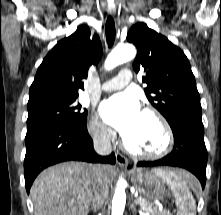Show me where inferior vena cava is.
<instances>
[{"label":"inferior vena cava","instance_id":"602c4592","mask_svg":"<svg viewBox=\"0 0 221 215\" xmlns=\"http://www.w3.org/2000/svg\"><path fill=\"white\" fill-rule=\"evenodd\" d=\"M94 149L102 156L111 154L112 147L108 130L101 128L99 134L94 138ZM93 171L96 177V184L91 203L92 209L96 211L103 206L104 201L108 197L109 187L104 176V166L100 164L95 165Z\"/></svg>","mask_w":221,"mask_h":215}]
</instances>
